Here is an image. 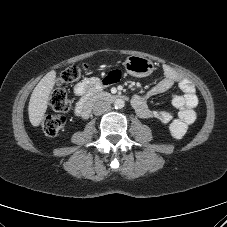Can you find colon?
<instances>
[{
    "mask_svg": "<svg viewBox=\"0 0 227 227\" xmlns=\"http://www.w3.org/2000/svg\"><path fill=\"white\" fill-rule=\"evenodd\" d=\"M86 66H71L61 75L58 85L52 90L50 95V106L57 114H46L41 121V128L47 136H57L66 124L63 114L73 110V102L68 97L63 85L73 84L79 81L86 72Z\"/></svg>",
    "mask_w": 227,
    "mask_h": 227,
    "instance_id": "5ec220e1",
    "label": "colon"
}]
</instances>
